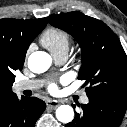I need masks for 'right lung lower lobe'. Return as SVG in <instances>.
Masks as SVG:
<instances>
[{"mask_svg": "<svg viewBox=\"0 0 127 127\" xmlns=\"http://www.w3.org/2000/svg\"><path fill=\"white\" fill-rule=\"evenodd\" d=\"M46 104L36 97L17 95L0 105V127H34Z\"/></svg>", "mask_w": 127, "mask_h": 127, "instance_id": "right-lung-lower-lobe-1", "label": "right lung lower lobe"}]
</instances>
